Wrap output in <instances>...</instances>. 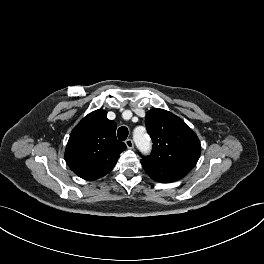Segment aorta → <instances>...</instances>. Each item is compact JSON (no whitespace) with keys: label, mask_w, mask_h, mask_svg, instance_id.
I'll return each instance as SVG.
<instances>
[{"label":"aorta","mask_w":264,"mask_h":264,"mask_svg":"<svg viewBox=\"0 0 264 264\" xmlns=\"http://www.w3.org/2000/svg\"><path fill=\"white\" fill-rule=\"evenodd\" d=\"M133 139L141 153L147 154L150 152L151 142L147 134L134 132Z\"/></svg>","instance_id":"762f6f07"}]
</instances>
